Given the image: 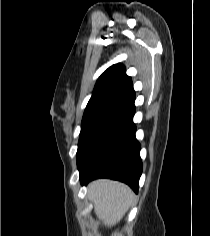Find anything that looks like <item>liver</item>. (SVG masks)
<instances>
[{
    "label": "liver",
    "mask_w": 210,
    "mask_h": 236,
    "mask_svg": "<svg viewBox=\"0 0 210 236\" xmlns=\"http://www.w3.org/2000/svg\"><path fill=\"white\" fill-rule=\"evenodd\" d=\"M94 212L107 227L116 225L128 211L134 194L125 184L108 179H98L88 186Z\"/></svg>",
    "instance_id": "1"
}]
</instances>
